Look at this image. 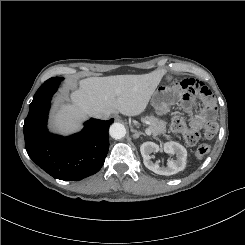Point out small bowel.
<instances>
[{"mask_svg":"<svg viewBox=\"0 0 245 245\" xmlns=\"http://www.w3.org/2000/svg\"><path fill=\"white\" fill-rule=\"evenodd\" d=\"M177 86L181 90H185L186 94L189 96H194L199 94V97L203 101H208L212 97V92L202 83L189 79L186 77H181L176 79ZM189 107V106H188ZM214 117V110L211 107H207L202 113L197 114L191 121V128L194 130L200 129L204 123L209 119Z\"/></svg>","mask_w":245,"mask_h":245,"instance_id":"c3829d8e","label":"small bowel"}]
</instances>
